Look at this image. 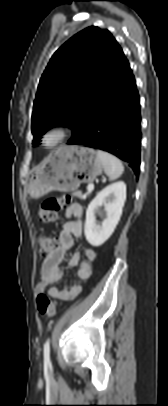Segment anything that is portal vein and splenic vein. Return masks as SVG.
Returning <instances> with one entry per match:
<instances>
[{
	"mask_svg": "<svg viewBox=\"0 0 168 406\" xmlns=\"http://www.w3.org/2000/svg\"><path fill=\"white\" fill-rule=\"evenodd\" d=\"M94 190V184L90 183L87 186V194H90ZM86 198V195H84V199Z\"/></svg>",
	"mask_w": 168,
	"mask_h": 406,
	"instance_id": "obj_1",
	"label": "portal vein and splenic vein"
}]
</instances>
